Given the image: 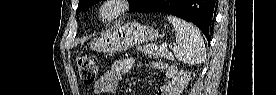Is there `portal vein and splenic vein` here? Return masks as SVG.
I'll return each mask as SVG.
<instances>
[{
	"instance_id": "portal-vein-and-splenic-vein-1",
	"label": "portal vein and splenic vein",
	"mask_w": 277,
	"mask_h": 95,
	"mask_svg": "<svg viewBox=\"0 0 277 95\" xmlns=\"http://www.w3.org/2000/svg\"><path fill=\"white\" fill-rule=\"evenodd\" d=\"M161 48H162V49H166V48H167V43H166V42H165V43H162Z\"/></svg>"
}]
</instances>
